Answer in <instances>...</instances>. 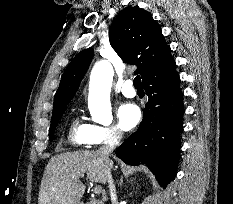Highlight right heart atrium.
Masks as SVG:
<instances>
[{
	"instance_id": "obj_1",
	"label": "right heart atrium",
	"mask_w": 233,
	"mask_h": 204,
	"mask_svg": "<svg viewBox=\"0 0 233 204\" xmlns=\"http://www.w3.org/2000/svg\"><path fill=\"white\" fill-rule=\"evenodd\" d=\"M90 126L87 145L98 146L101 144L115 143L122 137V132L117 126L96 124H91Z\"/></svg>"
}]
</instances>
